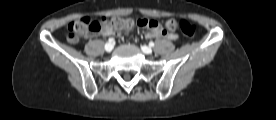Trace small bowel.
Instances as JSON below:
<instances>
[{
	"mask_svg": "<svg viewBox=\"0 0 276 120\" xmlns=\"http://www.w3.org/2000/svg\"><path fill=\"white\" fill-rule=\"evenodd\" d=\"M151 21V25L147 26L148 31L145 34V37L147 39H152V38H167L169 40H176L177 39V34L172 33V32H166L161 25L155 21V20H149ZM113 32H102V35L104 36H110L112 35Z\"/></svg>",
	"mask_w": 276,
	"mask_h": 120,
	"instance_id": "1",
	"label": "small bowel"
}]
</instances>
